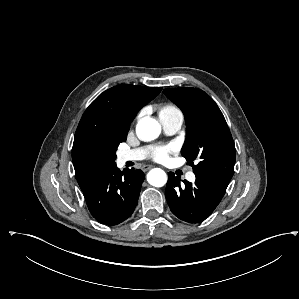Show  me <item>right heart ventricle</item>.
Segmentation results:
<instances>
[{
	"mask_svg": "<svg viewBox=\"0 0 299 299\" xmlns=\"http://www.w3.org/2000/svg\"><path fill=\"white\" fill-rule=\"evenodd\" d=\"M177 113L181 114L180 110L173 104H165L159 109V117Z\"/></svg>",
	"mask_w": 299,
	"mask_h": 299,
	"instance_id": "obj_1",
	"label": "right heart ventricle"
}]
</instances>
